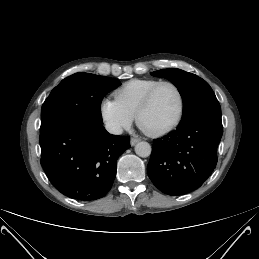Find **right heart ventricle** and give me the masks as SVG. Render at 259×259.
Returning a JSON list of instances; mask_svg holds the SVG:
<instances>
[{
    "mask_svg": "<svg viewBox=\"0 0 259 259\" xmlns=\"http://www.w3.org/2000/svg\"><path fill=\"white\" fill-rule=\"evenodd\" d=\"M158 82V79L152 78L132 79L114 92L115 100L127 113L135 117L146 93Z\"/></svg>",
    "mask_w": 259,
    "mask_h": 259,
    "instance_id": "right-heart-ventricle-1",
    "label": "right heart ventricle"
}]
</instances>
